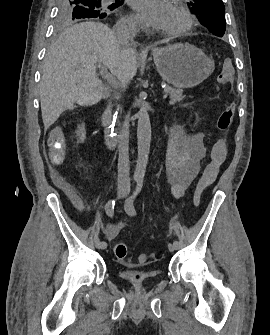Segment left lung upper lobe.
<instances>
[{
  "label": "left lung upper lobe",
  "mask_w": 270,
  "mask_h": 335,
  "mask_svg": "<svg viewBox=\"0 0 270 335\" xmlns=\"http://www.w3.org/2000/svg\"><path fill=\"white\" fill-rule=\"evenodd\" d=\"M187 5L212 33L220 37L225 34V7L222 0H192Z\"/></svg>",
  "instance_id": "left-lung-upper-lobe-1"
}]
</instances>
